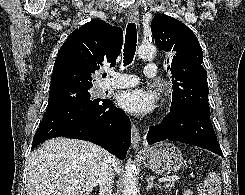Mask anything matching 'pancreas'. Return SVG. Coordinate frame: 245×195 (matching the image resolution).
I'll use <instances>...</instances> for the list:
<instances>
[{
	"label": "pancreas",
	"mask_w": 245,
	"mask_h": 195,
	"mask_svg": "<svg viewBox=\"0 0 245 195\" xmlns=\"http://www.w3.org/2000/svg\"><path fill=\"white\" fill-rule=\"evenodd\" d=\"M174 185H173V183L172 184H167V185H165V187H169V188H171V187H173Z\"/></svg>",
	"instance_id": "pancreas-1"
}]
</instances>
